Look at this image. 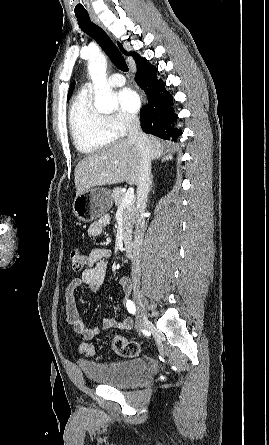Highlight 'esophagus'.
Listing matches in <instances>:
<instances>
[{
	"mask_svg": "<svg viewBox=\"0 0 269 445\" xmlns=\"http://www.w3.org/2000/svg\"><path fill=\"white\" fill-rule=\"evenodd\" d=\"M91 19H92V21H93L94 23H96L97 25L103 27L102 24H101V22H100V20L98 19L97 16L92 15V16H91ZM140 94H141V97H142L143 100H144V98H145V94H144V92H143V91H140Z\"/></svg>",
	"mask_w": 269,
	"mask_h": 445,
	"instance_id": "esophagus-1",
	"label": "esophagus"
}]
</instances>
